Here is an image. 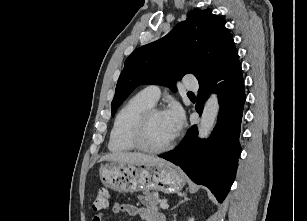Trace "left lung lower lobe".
Wrapping results in <instances>:
<instances>
[{"label": "left lung lower lobe", "mask_w": 307, "mask_h": 221, "mask_svg": "<svg viewBox=\"0 0 307 221\" xmlns=\"http://www.w3.org/2000/svg\"><path fill=\"white\" fill-rule=\"evenodd\" d=\"M212 91L218 94L220 112L208 141L197 138L194 125L178 147L159 157L180 166L192 181L207 186L222 203L234 182L241 151L239 135L246 97L238 52L216 74L199 83V114Z\"/></svg>", "instance_id": "left-lung-lower-lobe-1"}]
</instances>
